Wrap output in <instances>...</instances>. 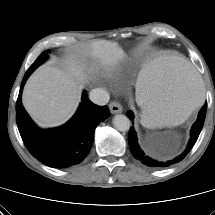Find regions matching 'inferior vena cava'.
Here are the masks:
<instances>
[{"instance_id":"inferior-vena-cava-1","label":"inferior vena cava","mask_w":215,"mask_h":215,"mask_svg":"<svg viewBox=\"0 0 215 215\" xmlns=\"http://www.w3.org/2000/svg\"><path fill=\"white\" fill-rule=\"evenodd\" d=\"M89 98L93 103L102 106L109 102L110 96L106 90L102 88H96L91 90Z\"/></svg>"}]
</instances>
